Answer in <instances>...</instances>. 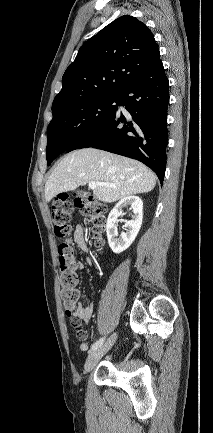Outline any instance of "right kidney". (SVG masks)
Masks as SVG:
<instances>
[{
  "mask_svg": "<svg viewBox=\"0 0 213 433\" xmlns=\"http://www.w3.org/2000/svg\"><path fill=\"white\" fill-rule=\"evenodd\" d=\"M127 205H130L134 215L132 220L127 221L125 224L126 232H122L118 237L117 218L123 214L122 208ZM142 218L143 202L138 196H127L115 205L108 216L106 225L108 243L114 253L123 252L133 243L141 228Z\"/></svg>",
  "mask_w": 213,
  "mask_h": 433,
  "instance_id": "right-kidney-1",
  "label": "right kidney"
}]
</instances>
